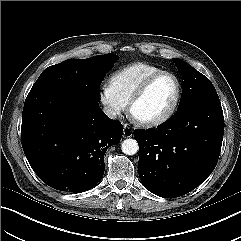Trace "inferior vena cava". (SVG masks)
<instances>
[{
  "instance_id": "inferior-vena-cava-1",
  "label": "inferior vena cava",
  "mask_w": 241,
  "mask_h": 241,
  "mask_svg": "<svg viewBox=\"0 0 241 241\" xmlns=\"http://www.w3.org/2000/svg\"><path fill=\"white\" fill-rule=\"evenodd\" d=\"M104 113L111 119H115L117 117L118 111L112 107H104Z\"/></svg>"
}]
</instances>
